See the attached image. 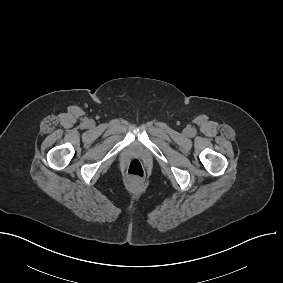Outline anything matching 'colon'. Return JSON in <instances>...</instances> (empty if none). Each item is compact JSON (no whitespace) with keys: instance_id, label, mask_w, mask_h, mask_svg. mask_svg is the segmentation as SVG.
<instances>
[{"instance_id":"colon-1","label":"colon","mask_w":283,"mask_h":283,"mask_svg":"<svg viewBox=\"0 0 283 283\" xmlns=\"http://www.w3.org/2000/svg\"><path fill=\"white\" fill-rule=\"evenodd\" d=\"M127 174L132 178H142L145 174V169L142 162L137 159L132 160L128 165Z\"/></svg>"}]
</instances>
